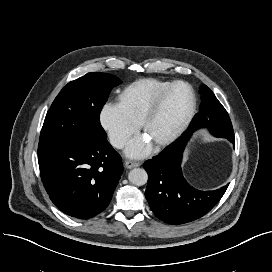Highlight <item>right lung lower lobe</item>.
Here are the masks:
<instances>
[{
    "label": "right lung lower lobe",
    "mask_w": 272,
    "mask_h": 272,
    "mask_svg": "<svg viewBox=\"0 0 272 272\" xmlns=\"http://www.w3.org/2000/svg\"><path fill=\"white\" fill-rule=\"evenodd\" d=\"M38 162L52 202L79 219L109 205L123 172L122 159L107 139L39 142Z\"/></svg>",
    "instance_id": "right-lung-lower-lobe-1"
}]
</instances>
